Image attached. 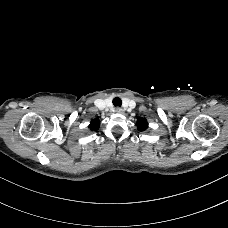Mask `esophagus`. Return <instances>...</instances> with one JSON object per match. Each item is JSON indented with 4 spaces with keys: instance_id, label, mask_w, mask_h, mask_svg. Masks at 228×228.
Listing matches in <instances>:
<instances>
[{
    "instance_id": "34e87169",
    "label": "esophagus",
    "mask_w": 228,
    "mask_h": 228,
    "mask_svg": "<svg viewBox=\"0 0 228 228\" xmlns=\"http://www.w3.org/2000/svg\"><path fill=\"white\" fill-rule=\"evenodd\" d=\"M115 112H117V113H123L124 110H123L122 108H120V107H117V108L115 109Z\"/></svg>"
}]
</instances>
